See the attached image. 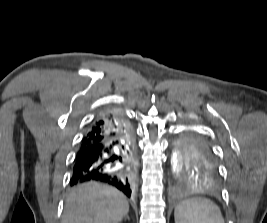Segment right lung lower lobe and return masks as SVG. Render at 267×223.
<instances>
[{
  "label": "right lung lower lobe",
  "instance_id": "98d812e1",
  "mask_svg": "<svg viewBox=\"0 0 267 223\" xmlns=\"http://www.w3.org/2000/svg\"><path fill=\"white\" fill-rule=\"evenodd\" d=\"M131 142L132 131L130 126H126L124 131L114 138L85 147L81 146L74 160L70 184L103 182L131 197L136 181L133 162L129 157Z\"/></svg>",
  "mask_w": 267,
  "mask_h": 223
}]
</instances>
